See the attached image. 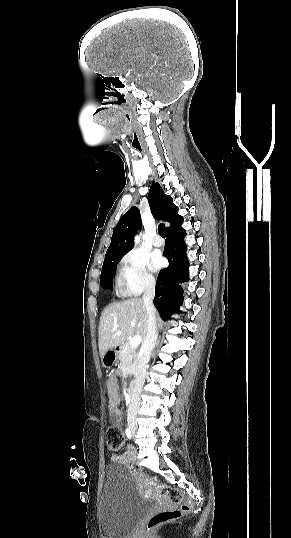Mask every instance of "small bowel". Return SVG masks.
Listing matches in <instances>:
<instances>
[{"label": "small bowel", "instance_id": "1", "mask_svg": "<svg viewBox=\"0 0 291 538\" xmlns=\"http://www.w3.org/2000/svg\"><path fill=\"white\" fill-rule=\"evenodd\" d=\"M107 389L109 395V409L111 419L114 423L118 425L121 419V412L118 409L119 394L117 378L115 375H111L108 377ZM135 457L136 450L132 445H129L124 453L111 456L110 461L113 463L128 464L131 463L135 459Z\"/></svg>", "mask_w": 291, "mask_h": 538}]
</instances>
